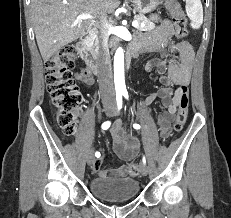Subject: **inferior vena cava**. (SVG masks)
Returning <instances> with one entry per match:
<instances>
[{
    "label": "inferior vena cava",
    "mask_w": 231,
    "mask_h": 218,
    "mask_svg": "<svg viewBox=\"0 0 231 218\" xmlns=\"http://www.w3.org/2000/svg\"><path fill=\"white\" fill-rule=\"evenodd\" d=\"M101 48L98 55V82L102 99H114L115 91L112 78L111 57L108 48L109 32L108 22L105 17L101 18Z\"/></svg>",
    "instance_id": "obj_1"
}]
</instances>
